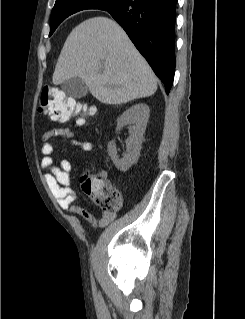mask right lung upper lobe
Instances as JSON below:
<instances>
[{"label": "right lung upper lobe", "instance_id": "obj_1", "mask_svg": "<svg viewBox=\"0 0 245 319\" xmlns=\"http://www.w3.org/2000/svg\"><path fill=\"white\" fill-rule=\"evenodd\" d=\"M69 1H78V0H69ZM77 9H79V8H77ZM75 12H76V11H75ZM75 12H74V13H75Z\"/></svg>", "mask_w": 245, "mask_h": 319}]
</instances>
